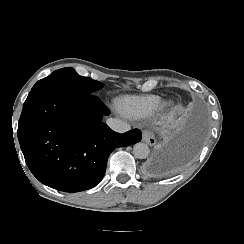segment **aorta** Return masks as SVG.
Wrapping results in <instances>:
<instances>
[{
  "label": "aorta",
  "mask_w": 244,
  "mask_h": 244,
  "mask_svg": "<svg viewBox=\"0 0 244 244\" xmlns=\"http://www.w3.org/2000/svg\"><path fill=\"white\" fill-rule=\"evenodd\" d=\"M150 150L147 144L137 143L133 147V154L136 158L145 159L149 156Z\"/></svg>",
  "instance_id": "aorta-1"
}]
</instances>
